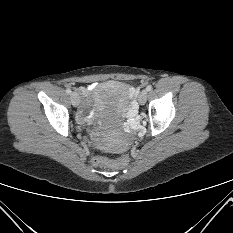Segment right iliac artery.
<instances>
[{
	"instance_id": "82829eb1",
	"label": "right iliac artery",
	"mask_w": 233,
	"mask_h": 233,
	"mask_svg": "<svg viewBox=\"0 0 233 233\" xmlns=\"http://www.w3.org/2000/svg\"><path fill=\"white\" fill-rule=\"evenodd\" d=\"M67 94H71V90L69 88L66 89Z\"/></svg>"
}]
</instances>
